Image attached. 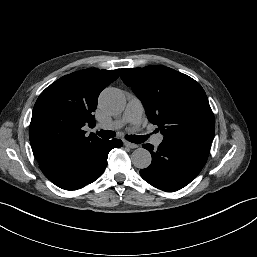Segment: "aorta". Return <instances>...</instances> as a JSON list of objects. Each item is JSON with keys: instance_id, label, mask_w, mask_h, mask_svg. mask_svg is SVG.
<instances>
[{"instance_id": "obj_1", "label": "aorta", "mask_w": 257, "mask_h": 257, "mask_svg": "<svg viewBox=\"0 0 257 257\" xmlns=\"http://www.w3.org/2000/svg\"><path fill=\"white\" fill-rule=\"evenodd\" d=\"M100 107L109 114H119L126 106L124 94L116 88H107L99 97ZM132 163L139 169L147 168L152 161L151 154L144 148L135 149L131 155Z\"/></svg>"}]
</instances>
